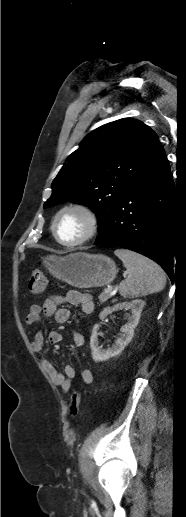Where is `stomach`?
I'll return each mask as SVG.
<instances>
[{
	"mask_svg": "<svg viewBox=\"0 0 186 517\" xmlns=\"http://www.w3.org/2000/svg\"><path fill=\"white\" fill-rule=\"evenodd\" d=\"M43 264L55 278L77 288L109 285L116 277L115 262L102 254L76 252L59 257L50 255Z\"/></svg>",
	"mask_w": 186,
	"mask_h": 517,
	"instance_id": "0dacf381",
	"label": "stomach"
}]
</instances>
